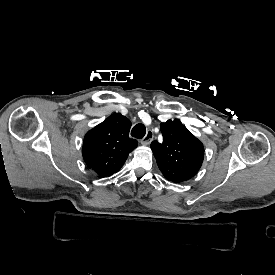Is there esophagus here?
Wrapping results in <instances>:
<instances>
[{"label": "esophagus", "instance_id": "obj_1", "mask_svg": "<svg viewBox=\"0 0 275 275\" xmlns=\"http://www.w3.org/2000/svg\"><path fill=\"white\" fill-rule=\"evenodd\" d=\"M154 138V133L152 130H148L145 137L141 140V144L146 146L149 145L151 143V141Z\"/></svg>", "mask_w": 275, "mask_h": 275}]
</instances>
